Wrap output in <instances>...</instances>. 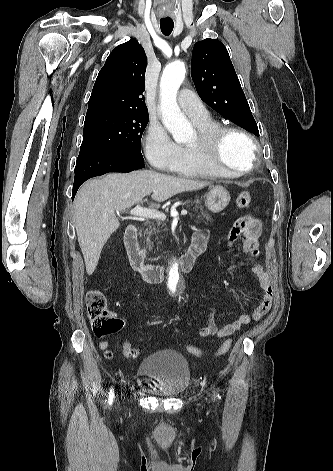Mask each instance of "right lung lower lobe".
<instances>
[{"label":"right lung lower lobe","mask_w":333,"mask_h":471,"mask_svg":"<svg viewBox=\"0 0 333 471\" xmlns=\"http://www.w3.org/2000/svg\"><path fill=\"white\" fill-rule=\"evenodd\" d=\"M143 160L113 151L80 152L75 166L72 199L83 182L108 172H131L144 168Z\"/></svg>","instance_id":"98d812e1"}]
</instances>
